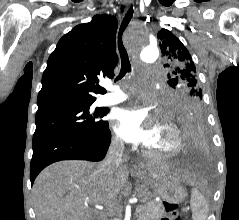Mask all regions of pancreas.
Instances as JSON below:
<instances>
[{"label":"pancreas","instance_id":"obj_1","mask_svg":"<svg viewBox=\"0 0 239 220\" xmlns=\"http://www.w3.org/2000/svg\"><path fill=\"white\" fill-rule=\"evenodd\" d=\"M165 215V209L161 201H150L144 205L138 214V220H158Z\"/></svg>","mask_w":239,"mask_h":220}]
</instances>
